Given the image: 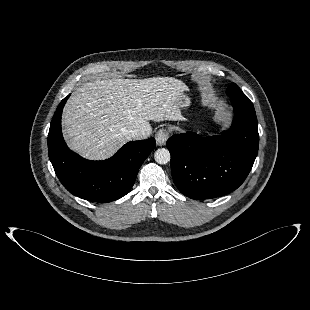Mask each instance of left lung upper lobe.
Masks as SVG:
<instances>
[{"instance_id":"5c2ea615","label":"left lung upper lobe","mask_w":310,"mask_h":310,"mask_svg":"<svg viewBox=\"0 0 310 310\" xmlns=\"http://www.w3.org/2000/svg\"><path fill=\"white\" fill-rule=\"evenodd\" d=\"M227 95L230 97H234V96H242L244 95V93L235 83H232L227 89Z\"/></svg>"}]
</instances>
